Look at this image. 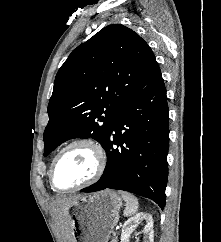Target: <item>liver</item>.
Returning a JSON list of instances; mask_svg holds the SVG:
<instances>
[{"label": "liver", "mask_w": 221, "mask_h": 242, "mask_svg": "<svg viewBox=\"0 0 221 242\" xmlns=\"http://www.w3.org/2000/svg\"><path fill=\"white\" fill-rule=\"evenodd\" d=\"M79 197L80 196L59 198L52 203V211L57 225L62 232L63 242H72L73 240L72 225L68 209Z\"/></svg>", "instance_id": "6515ba94"}]
</instances>
